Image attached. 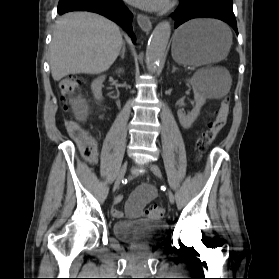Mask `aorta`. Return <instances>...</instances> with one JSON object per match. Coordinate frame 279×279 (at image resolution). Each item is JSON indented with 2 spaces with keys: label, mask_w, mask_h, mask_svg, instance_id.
<instances>
[{
  "label": "aorta",
  "mask_w": 279,
  "mask_h": 279,
  "mask_svg": "<svg viewBox=\"0 0 279 279\" xmlns=\"http://www.w3.org/2000/svg\"><path fill=\"white\" fill-rule=\"evenodd\" d=\"M171 34L168 21L160 22L154 29L146 49V63L150 72H157L162 63Z\"/></svg>",
  "instance_id": "762f6f07"
}]
</instances>
